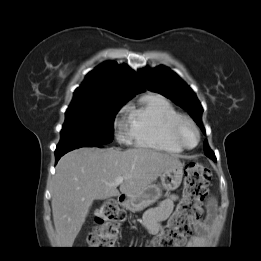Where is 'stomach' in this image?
<instances>
[{
	"instance_id": "stomach-1",
	"label": "stomach",
	"mask_w": 261,
	"mask_h": 261,
	"mask_svg": "<svg viewBox=\"0 0 261 261\" xmlns=\"http://www.w3.org/2000/svg\"><path fill=\"white\" fill-rule=\"evenodd\" d=\"M183 165L180 163L161 175V185L151 184L132 196H126L122 205L130 211H139L156 202L162 189L173 191L177 189L182 181Z\"/></svg>"
}]
</instances>
